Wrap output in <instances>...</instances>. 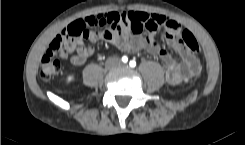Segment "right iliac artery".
I'll return each mask as SVG.
<instances>
[{
	"label": "right iliac artery",
	"instance_id": "82829eb1",
	"mask_svg": "<svg viewBox=\"0 0 245 145\" xmlns=\"http://www.w3.org/2000/svg\"><path fill=\"white\" fill-rule=\"evenodd\" d=\"M122 61H123L124 63H126V62L128 61L127 56H123V57H122Z\"/></svg>",
	"mask_w": 245,
	"mask_h": 145
}]
</instances>
